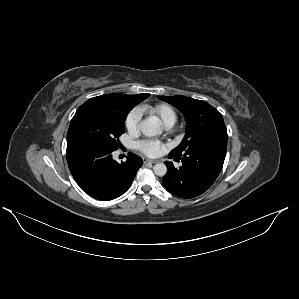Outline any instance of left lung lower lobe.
Returning a JSON list of instances; mask_svg holds the SVG:
<instances>
[{
	"label": "left lung lower lobe",
	"instance_id": "1",
	"mask_svg": "<svg viewBox=\"0 0 299 299\" xmlns=\"http://www.w3.org/2000/svg\"><path fill=\"white\" fill-rule=\"evenodd\" d=\"M227 144H211L190 151L182 157V166L175 168L172 162H165L167 174L162 181L172 194L182 198H193L208 190L223 167Z\"/></svg>",
	"mask_w": 299,
	"mask_h": 299
}]
</instances>
